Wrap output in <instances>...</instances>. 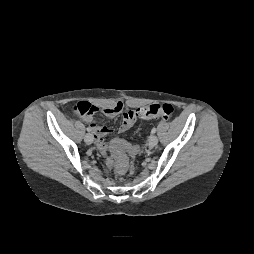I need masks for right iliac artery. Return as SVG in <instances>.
<instances>
[{
	"instance_id": "right-iliac-artery-1",
	"label": "right iliac artery",
	"mask_w": 254,
	"mask_h": 254,
	"mask_svg": "<svg viewBox=\"0 0 254 254\" xmlns=\"http://www.w3.org/2000/svg\"><path fill=\"white\" fill-rule=\"evenodd\" d=\"M87 131H88V132H90V131H91V128H90V127H88V128H87Z\"/></svg>"
}]
</instances>
